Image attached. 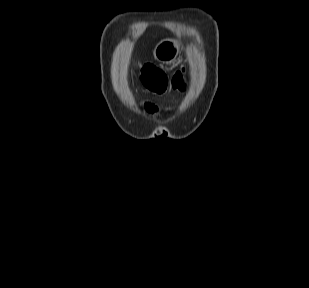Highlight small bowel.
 Instances as JSON below:
<instances>
[{"instance_id": "1", "label": "small bowel", "mask_w": 309, "mask_h": 288, "mask_svg": "<svg viewBox=\"0 0 309 288\" xmlns=\"http://www.w3.org/2000/svg\"><path fill=\"white\" fill-rule=\"evenodd\" d=\"M147 108H148L149 110H154V109H155V107H154L153 105H151V104H148V105H147Z\"/></svg>"}]
</instances>
